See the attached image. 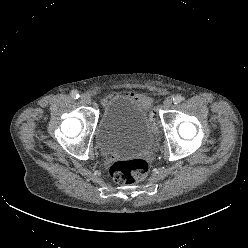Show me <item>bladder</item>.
I'll return each mask as SVG.
<instances>
[{
  "mask_svg": "<svg viewBox=\"0 0 248 248\" xmlns=\"http://www.w3.org/2000/svg\"><path fill=\"white\" fill-rule=\"evenodd\" d=\"M95 141L106 154H133L152 148L155 131L148 104L125 93L112 96L103 107Z\"/></svg>",
  "mask_w": 248,
  "mask_h": 248,
  "instance_id": "31cf9c89",
  "label": "bladder"
}]
</instances>
